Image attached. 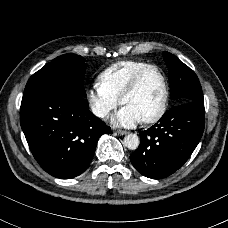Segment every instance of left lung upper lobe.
I'll list each match as a JSON object with an SVG mask.
<instances>
[{
    "instance_id": "left-lung-upper-lobe-1",
    "label": "left lung upper lobe",
    "mask_w": 228,
    "mask_h": 228,
    "mask_svg": "<svg viewBox=\"0 0 228 228\" xmlns=\"http://www.w3.org/2000/svg\"><path fill=\"white\" fill-rule=\"evenodd\" d=\"M163 56L169 71L171 98L181 99L182 103L204 102L202 88L194 71L169 52L164 51Z\"/></svg>"
}]
</instances>
